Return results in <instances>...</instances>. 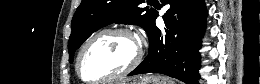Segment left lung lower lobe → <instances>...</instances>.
<instances>
[{
  "label": "left lung lower lobe",
  "mask_w": 260,
  "mask_h": 84,
  "mask_svg": "<svg viewBox=\"0 0 260 84\" xmlns=\"http://www.w3.org/2000/svg\"><path fill=\"white\" fill-rule=\"evenodd\" d=\"M170 8L164 14V31L155 25L156 12L150 29L149 51L144 61L129 76L141 73H161L187 84L199 78L198 50L206 27L207 9L204 0H162Z\"/></svg>",
  "instance_id": "0a47b994"
}]
</instances>
